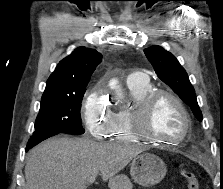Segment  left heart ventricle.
<instances>
[{
  "instance_id": "left-heart-ventricle-1",
  "label": "left heart ventricle",
  "mask_w": 223,
  "mask_h": 189,
  "mask_svg": "<svg viewBox=\"0 0 223 189\" xmlns=\"http://www.w3.org/2000/svg\"><path fill=\"white\" fill-rule=\"evenodd\" d=\"M183 127L182 114L173 101L167 97L159 99L148 119V132L160 138L174 140L182 134Z\"/></svg>"
}]
</instances>
